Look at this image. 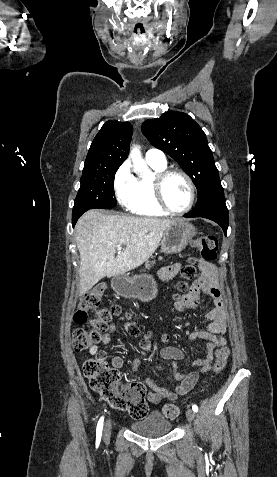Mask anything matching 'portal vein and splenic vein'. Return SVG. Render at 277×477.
Segmentation results:
<instances>
[{
  "label": "portal vein and splenic vein",
  "mask_w": 277,
  "mask_h": 477,
  "mask_svg": "<svg viewBox=\"0 0 277 477\" xmlns=\"http://www.w3.org/2000/svg\"><path fill=\"white\" fill-rule=\"evenodd\" d=\"M116 248H117V250H122V246H121V245H117Z\"/></svg>",
  "instance_id": "obj_1"
}]
</instances>
